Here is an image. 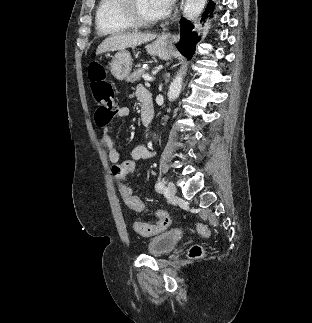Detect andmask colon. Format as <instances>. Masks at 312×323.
Here are the masks:
<instances>
[{"label": "colon", "instance_id": "obj_1", "mask_svg": "<svg viewBox=\"0 0 312 323\" xmlns=\"http://www.w3.org/2000/svg\"><path fill=\"white\" fill-rule=\"evenodd\" d=\"M90 86L93 98L97 102V109L94 114V121L98 127L106 126L117 113V105L114 102V91L111 82L107 80L106 71L103 65H93L89 71ZM135 166L134 160H127L123 165H112L110 170L118 182L123 180L125 172H132ZM124 204H129L131 213H141L142 203L138 202L137 197H132L131 190L126 184L121 186ZM171 225L170 217L165 212L157 213L155 223H133L132 230L140 235H154L166 231ZM196 229L206 233L202 224H198ZM203 255L202 247L198 244L190 248L189 256L192 259L200 258Z\"/></svg>", "mask_w": 312, "mask_h": 323}]
</instances>
